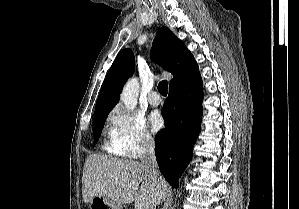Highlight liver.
<instances>
[{
    "instance_id": "obj_1",
    "label": "liver",
    "mask_w": 299,
    "mask_h": 209,
    "mask_svg": "<svg viewBox=\"0 0 299 209\" xmlns=\"http://www.w3.org/2000/svg\"><path fill=\"white\" fill-rule=\"evenodd\" d=\"M167 191V182L154 179L140 162L101 154L86 159L82 176L85 203L102 196L118 204L135 202V209H152Z\"/></svg>"
}]
</instances>
